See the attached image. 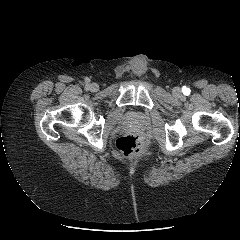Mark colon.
<instances>
[{
  "mask_svg": "<svg viewBox=\"0 0 240 240\" xmlns=\"http://www.w3.org/2000/svg\"><path fill=\"white\" fill-rule=\"evenodd\" d=\"M118 150L127 158H136L147 151L144 139L138 135H126L117 140Z\"/></svg>",
  "mask_w": 240,
  "mask_h": 240,
  "instance_id": "colon-1",
  "label": "colon"
}]
</instances>
